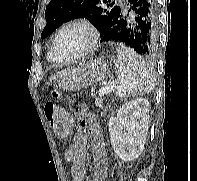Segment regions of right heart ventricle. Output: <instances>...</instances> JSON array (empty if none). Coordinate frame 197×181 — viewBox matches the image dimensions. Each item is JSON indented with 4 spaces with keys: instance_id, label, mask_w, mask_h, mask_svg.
<instances>
[{
    "instance_id": "obj_1",
    "label": "right heart ventricle",
    "mask_w": 197,
    "mask_h": 181,
    "mask_svg": "<svg viewBox=\"0 0 197 181\" xmlns=\"http://www.w3.org/2000/svg\"><path fill=\"white\" fill-rule=\"evenodd\" d=\"M48 60H49V61H53L52 55H51V50H50L49 53H48Z\"/></svg>"
}]
</instances>
